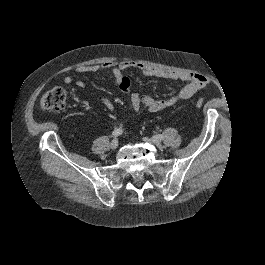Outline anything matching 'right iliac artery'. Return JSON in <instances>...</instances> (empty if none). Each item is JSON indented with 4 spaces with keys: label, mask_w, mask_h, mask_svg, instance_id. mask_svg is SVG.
Masks as SVG:
<instances>
[{
    "label": "right iliac artery",
    "mask_w": 265,
    "mask_h": 265,
    "mask_svg": "<svg viewBox=\"0 0 265 265\" xmlns=\"http://www.w3.org/2000/svg\"><path fill=\"white\" fill-rule=\"evenodd\" d=\"M123 133V130L120 129V128H117L115 129L113 132H112V137H118L119 135H121Z\"/></svg>",
    "instance_id": "1"
}]
</instances>
